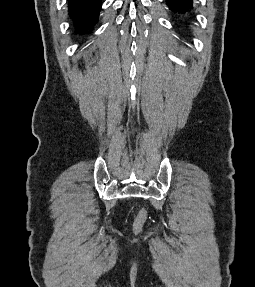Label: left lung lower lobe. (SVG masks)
<instances>
[{
	"label": "left lung lower lobe",
	"mask_w": 255,
	"mask_h": 287,
	"mask_svg": "<svg viewBox=\"0 0 255 287\" xmlns=\"http://www.w3.org/2000/svg\"><path fill=\"white\" fill-rule=\"evenodd\" d=\"M166 4L178 17L183 19L192 17L193 0H166Z\"/></svg>",
	"instance_id": "0a47b994"
}]
</instances>
